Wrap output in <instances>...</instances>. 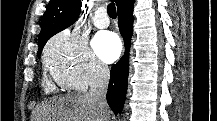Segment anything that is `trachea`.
Masks as SVG:
<instances>
[{
	"label": "trachea",
	"instance_id": "1",
	"mask_svg": "<svg viewBox=\"0 0 217 121\" xmlns=\"http://www.w3.org/2000/svg\"><path fill=\"white\" fill-rule=\"evenodd\" d=\"M107 12H108L109 17H111V18L117 17L116 7H115V4L113 2L108 5Z\"/></svg>",
	"mask_w": 217,
	"mask_h": 121
}]
</instances>
